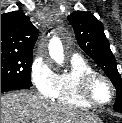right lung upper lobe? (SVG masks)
Listing matches in <instances>:
<instances>
[{
	"label": "right lung upper lobe",
	"instance_id": "obj_1",
	"mask_svg": "<svg viewBox=\"0 0 122 123\" xmlns=\"http://www.w3.org/2000/svg\"><path fill=\"white\" fill-rule=\"evenodd\" d=\"M38 29L20 11L1 15V53L32 54Z\"/></svg>",
	"mask_w": 122,
	"mask_h": 123
}]
</instances>
